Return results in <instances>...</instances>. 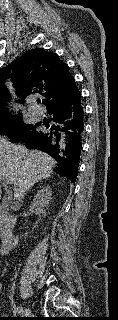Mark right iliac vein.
Instances as JSON below:
<instances>
[{
  "label": "right iliac vein",
  "instance_id": "obj_1",
  "mask_svg": "<svg viewBox=\"0 0 118 320\" xmlns=\"http://www.w3.org/2000/svg\"><path fill=\"white\" fill-rule=\"evenodd\" d=\"M27 312H28V315H30V314H31V310H30V309H27Z\"/></svg>",
  "mask_w": 118,
  "mask_h": 320
}]
</instances>
